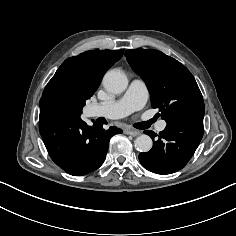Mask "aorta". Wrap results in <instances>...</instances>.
Instances as JSON below:
<instances>
[{
	"instance_id": "obj_1",
	"label": "aorta",
	"mask_w": 236,
	"mask_h": 236,
	"mask_svg": "<svg viewBox=\"0 0 236 236\" xmlns=\"http://www.w3.org/2000/svg\"><path fill=\"white\" fill-rule=\"evenodd\" d=\"M103 86L111 93L119 94L126 90L128 86L127 76L118 69L108 71L103 78ZM153 145L152 139L142 134L138 136L134 141L135 148L140 152H148L151 150Z\"/></svg>"
}]
</instances>
